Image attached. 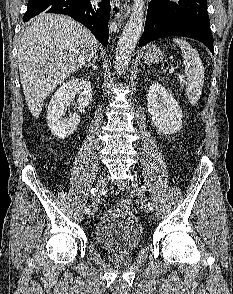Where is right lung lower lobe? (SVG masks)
Listing matches in <instances>:
<instances>
[{
    "label": "right lung lower lobe",
    "mask_w": 233,
    "mask_h": 294,
    "mask_svg": "<svg viewBox=\"0 0 233 294\" xmlns=\"http://www.w3.org/2000/svg\"><path fill=\"white\" fill-rule=\"evenodd\" d=\"M65 14L86 26L107 47L109 38L108 21L110 1L102 0L93 4L90 0H29L23 21L30 20L40 13Z\"/></svg>",
    "instance_id": "obj_1"
}]
</instances>
